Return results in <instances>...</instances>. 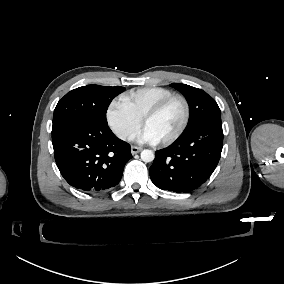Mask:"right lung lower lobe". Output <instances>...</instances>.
Instances as JSON below:
<instances>
[{"instance_id": "98d812e1", "label": "right lung lower lobe", "mask_w": 284, "mask_h": 284, "mask_svg": "<svg viewBox=\"0 0 284 284\" xmlns=\"http://www.w3.org/2000/svg\"><path fill=\"white\" fill-rule=\"evenodd\" d=\"M55 161L64 179L76 189L96 193L115 187L132 158L130 145L108 125L73 120L52 132Z\"/></svg>"}]
</instances>
